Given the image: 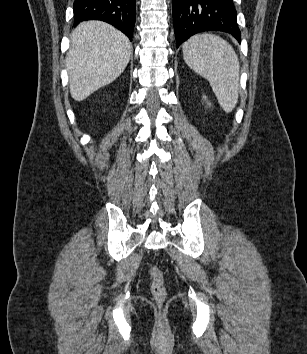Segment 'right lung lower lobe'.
I'll return each instance as SVG.
<instances>
[{
  "instance_id": "right-lung-lower-lobe-1",
  "label": "right lung lower lobe",
  "mask_w": 307,
  "mask_h": 354,
  "mask_svg": "<svg viewBox=\"0 0 307 354\" xmlns=\"http://www.w3.org/2000/svg\"><path fill=\"white\" fill-rule=\"evenodd\" d=\"M75 26L83 20L105 21L132 40L136 19V0H75Z\"/></svg>"
}]
</instances>
